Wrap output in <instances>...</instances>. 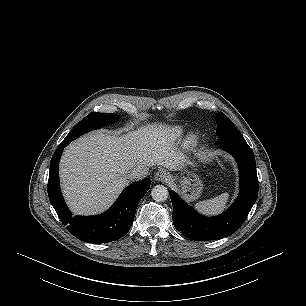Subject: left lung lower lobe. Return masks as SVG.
<instances>
[{"mask_svg":"<svg viewBox=\"0 0 306 306\" xmlns=\"http://www.w3.org/2000/svg\"><path fill=\"white\" fill-rule=\"evenodd\" d=\"M220 147L234 156L240 173L238 198L225 213L216 217L202 216L170 191L173 224L183 236L192 240H218L233 234L246 220L258 196L255 157L246 141L225 142Z\"/></svg>","mask_w":306,"mask_h":306,"instance_id":"left-lung-lower-lobe-1","label":"left lung lower lobe"}]
</instances>
